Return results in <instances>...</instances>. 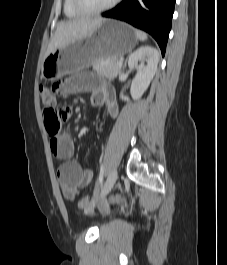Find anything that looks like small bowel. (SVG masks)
I'll return each instance as SVG.
<instances>
[{"label":"small bowel","instance_id":"1","mask_svg":"<svg viewBox=\"0 0 227 265\" xmlns=\"http://www.w3.org/2000/svg\"><path fill=\"white\" fill-rule=\"evenodd\" d=\"M54 85L59 86L63 94L89 92L93 105L106 107L111 117H116L118 114L115 91L98 78V72H75L73 77L65 81H55ZM60 112L71 113L72 107H60ZM49 145L54 157L63 161L57 172L62 193L66 199L74 201L80 191L93 181L94 172L82 168L78 162L71 160L74 141L70 134L58 132L50 136Z\"/></svg>","mask_w":227,"mask_h":265}]
</instances>
